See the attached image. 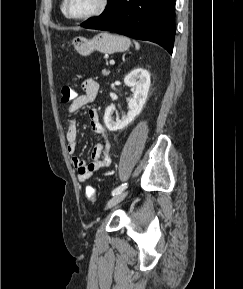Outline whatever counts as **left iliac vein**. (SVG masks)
<instances>
[{
  "mask_svg": "<svg viewBox=\"0 0 243 289\" xmlns=\"http://www.w3.org/2000/svg\"><path fill=\"white\" fill-rule=\"evenodd\" d=\"M128 192H121L119 194L114 195L108 202L107 208H111L121 202L126 196Z\"/></svg>",
  "mask_w": 243,
  "mask_h": 289,
  "instance_id": "left-iliac-vein-1",
  "label": "left iliac vein"
}]
</instances>
